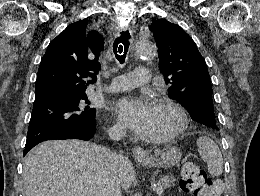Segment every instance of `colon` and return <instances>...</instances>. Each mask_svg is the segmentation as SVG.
I'll return each mask as SVG.
<instances>
[{
	"mask_svg": "<svg viewBox=\"0 0 260 196\" xmlns=\"http://www.w3.org/2000/svg\"><path fill=\"white\" fill-rule=\"evenodd\" d=\"M181 181L185 191H201L210 184L205 172L191 160L186 161L182 166Z\"/></svg>",
	"mask_w": 260,
	"mask_h": 196,
	"instance_id": "1",
	"label": "colon"
}]
</instances>
